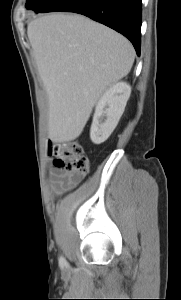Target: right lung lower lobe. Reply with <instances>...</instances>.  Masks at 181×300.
Masks as SVG:
<instances>
[{"label": "right lung lower lobe", "instance_id": "right-lung-lower-lobe-1", "mask_svg": "<svg viewBox=\"0 0 181 300\" xmlns=\"http://www.w3.org/2000/svg\"><path fill=\"white\" fill-rule=\"evenodd\" d=\"M75 12L127 37L140 55L141 0H55L41 12Z\"/></svg>", "mask_w": 181, "mask_h": 300}]
</instances>
